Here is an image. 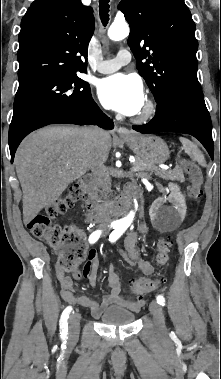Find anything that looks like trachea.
Segmentation results:
<instances>
[{
  "label": "trachea",
  "instance_id": "obj_1",
  "mask_svg": "<svg viewBox=\"0 0 221 379\" xmlns=\"http://www.w3.org/2000/svg\"><path fill=\"white\" fill-rule=\"evenodd\" d=\"M109 1L110 0H99L100 19L104 26H106L109 21Z\"/></svg>",
  "mask_w": 221,
  "mask_h": 379
}]
</instances>
